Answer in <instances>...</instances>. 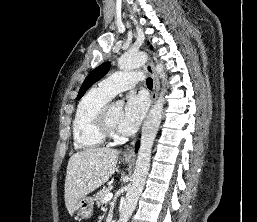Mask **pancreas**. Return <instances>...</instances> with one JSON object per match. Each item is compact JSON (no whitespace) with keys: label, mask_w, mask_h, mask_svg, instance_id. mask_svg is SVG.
Here are the masks:
<instances>
[{"label":"pancreas","mask_w":257,"mask_h":222,"mask_svg":"<svg viewBox=\"0 0 257 222\" xmlns=\"http://www.w3.org/2000/svg\"><path fill=\"white\" fill-rule=\"evenodd\" d=\"M110 193V188L109 187H104L103 189H101L100 191H98V193L95 196V201H96V205L98 207H100L101 205H103L104 202V197Z\"/></svg>","instance_id":"1"}]
</instances>
